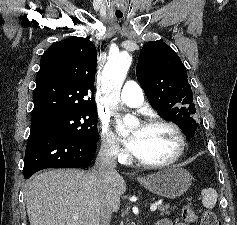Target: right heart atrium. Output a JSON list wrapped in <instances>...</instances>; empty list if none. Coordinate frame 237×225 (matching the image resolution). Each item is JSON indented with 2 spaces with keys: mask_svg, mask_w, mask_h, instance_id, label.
<instances>
[{
  "mask_svg": "<svg viewBox=\"0 0 237 225\" xmlns=\"http://www.w3.org/2000/svg\"><path fill=\"white\" fill-rule=\"evenodd\" d=\"M101 149L109 158L124 162L128 159L127 153L122 149L118 138L111 131L107 123L100 126Z\"/></svg>",
  "mask_w": 237,
  "mask_h": 225,
  "instance_id": "right-heart-atrium-1",
  "label": "right heart atrium"
}]
</instances>
